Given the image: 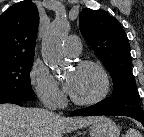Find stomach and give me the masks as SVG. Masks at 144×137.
I'll return each instance as SVG.
<instances>
[{
	"label": "stomach",
	"mask_w": 144,
	"mask_h": 137,
	"mask_svg": "<svg viewBox=\"0 0 144 137\" xmlns=\"http://www.w3.org/2000/svg\"><path fill=\"white\" fill-rule=\"evenodd\" d=\"M89 137H120V130L116 124L107 117H100L89 127Z\"/></svg>",
	"instance_id": "obj_1"
}]
</instances>
